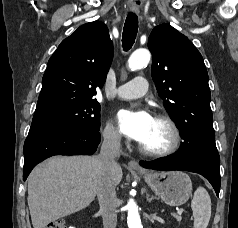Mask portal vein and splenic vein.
<instances>
[{"mask_svg":"<svg viewBox=\"0 0 238 228\" xmlns=\"http://www.w3.org/2000/svg\"><path fill=\"white\" fill-rule=\"evenodd\" d=\"M182 213H183V209H178V210H177V214L180 215V214H182Z\"/></svg>","mask_w":238,"mask_h":228,"instance_id":"18ae733b","label":"portal vein and splenic vein"}]
</instances>
